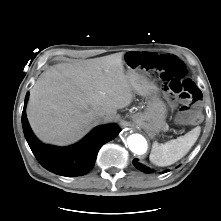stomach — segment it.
I'll return each instance as SVG.
<instances>
[{"instance_id": "1", "label": "stomach", "mask_w": 221, "mask_h": 221, "mask_svg": "<svg viewBox=\"0 0 221 221\" xmlns=\"http://www.w3.org/2000/svg\"><path fill=\"white\" fill-rule=\"evenodd\" d=\"M125 62L129 61L125 57ZM126 75L132 80L135 91L147 97V106L143 112H133L129 115L131 121L143 129L151 138L167 130V105L159 95L158 87L146 76L138 74L136 69L128 64Z\"/></svg>"}]
</instances>
